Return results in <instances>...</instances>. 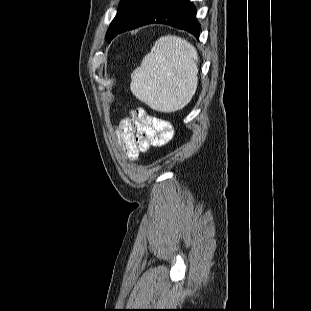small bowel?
Listing matches in <instances>:
<instances>
[{
    "mask_svg": "<svg viewBox=\"0 0 311 311\" xmlns=\"http://www.w3.org/2000/svg\"><path fill=\"white\" fill-rule=\"evenodd\" d=\"M118 143L124 154L136 160L151 147L167 144L173 136L172 125L150 116L145 110L137 109L132 116L123 119L116 129Z\"/></svg>",
    "mask_w": 311,
    "mask_h": 311,
    "instance_id": "c3829d8e",
    "label": "small bowel"
}]
</instances>
